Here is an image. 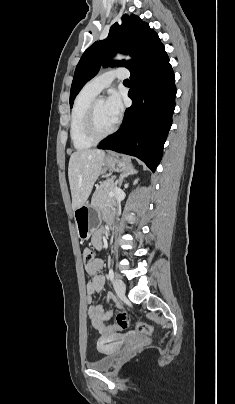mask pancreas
I'll use <instances>...</instances> for the list:
<instances>
[{
    "label": "pancreas",
    "instance_id": "pancreas-1",
    "mask_svg": "<svg viewBox=\"0 0 235 404\" xmlns=\"http://www.w3.org/2000/svg\"><path fill=\"white\" fill-rule=\"evenodd\" d=\"M114 179H109L102 182L96 189L95 193L92 197V205L97 206L99 208H104L105 206L114 203L115 198L109 197L108 194L114 190L115 188Z\"/></svg>",
    "mask_w": 235,
    "mask_h": 404
}]
</instances>
